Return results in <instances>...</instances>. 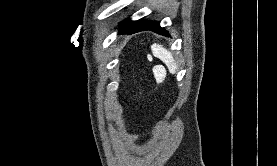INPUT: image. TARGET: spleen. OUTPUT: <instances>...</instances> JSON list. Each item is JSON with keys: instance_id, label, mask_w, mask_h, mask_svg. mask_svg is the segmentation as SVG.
<instances>
[{"instance_id": "1", "label": "spleen", "mask_w": 277, "mask_h": 166, "mask_svg": "<svg viewBox=\"0 0 277 166\" xmlns=\"http://www.w3.org/2000/svg\"><path fill=\"white\" fill-rule=\"evenodd\" d=\"M151 50L155 57L159 58L163 63H165L171 73L176 72L177 66L174 62L171 52L165 49L162 45L156 43L151 45Z\"/></svg>"}]
</instances>
